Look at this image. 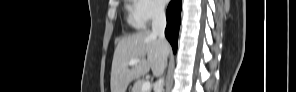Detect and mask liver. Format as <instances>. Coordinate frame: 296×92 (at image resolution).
Here are the masks:
<instances>
[{"instance_id": "1", "label": "liver", "mask_w": 296, "mask_h": 92, "mask_svg": "<svg viewBox=\"0 0 296 92\" xmlns=\"http://www.w3.org/2000/svg\"><path fill=\"white\" fill-rule=\"evenodd\" d=\"M169 52L168 42H162L150 30H141L120 39L113 55L111 92H126L128 85L147 74L150 68L154 76L162 75ZM132 59L140 62L129 68Z\"/></svg>"}]
</instances>
